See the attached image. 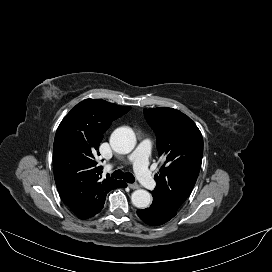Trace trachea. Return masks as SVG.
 <instances>
[{
	"mask_svg": "<svg viewBox=\"0 0 272 272\" xmlns=\"http://www.w3.org/2000/svg\"><path fill=\"white\" fill-rule=\"evenodd\" d=\"M111 176L116 178V179H123L127 183H134L135 182L134 176L129 172L124 173L121 170H116L111 174Z\"/></svg>",
	"mask_w": 272,
	"mask_h": 272,
	"instance_id": "3493384b",
	"label": "trachea"
}]
</instances>
